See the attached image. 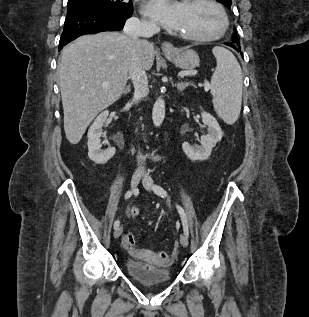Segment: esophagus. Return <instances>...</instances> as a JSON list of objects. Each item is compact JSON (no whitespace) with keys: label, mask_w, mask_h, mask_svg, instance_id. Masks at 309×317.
<instances>
[{"label":"esophagus","mask_w":309,"mask_h":317,"mask_svg":"<svg viewBox=\"0 0 309 317\" xmlns=\"http://www.w3.org/2000/svg\"><path fill=\"white\" fill-rule=\"evenodd\" d=\"M161 47H162V50L166 53L173 52L174 50V47L170 42H163Z\"/></svg>","instance_id":"esophagus-1"}]
</instances>
